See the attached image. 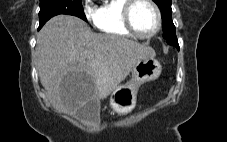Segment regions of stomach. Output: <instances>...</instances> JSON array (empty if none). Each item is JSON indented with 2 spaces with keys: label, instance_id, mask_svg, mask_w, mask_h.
I'll use <instances>...</instances> for the list:
<instances>
[{
  "label": "stomach",
  "instance_id": "0dacf381",
  "mask_svg": "<svg viewBox=\"0 0 227 142\" xmlns=\"http://www.w3.org/2000/svg\"><path fill=\"white\" fill-rule=\"evenodd\" d=\"M161 71L162 66L155 58L140 60L132 69L131 80L113 91L110 98L112 108L122 114L130 112L135 107L140 85L157 79Z\"/></svg>",
  "mask_w": 227,
  "mask_h": 142
}]
</instances>
